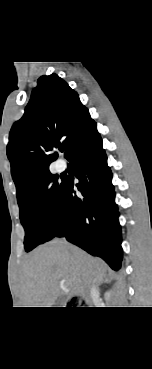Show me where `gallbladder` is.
I'll return each instance as SVG.
<instances>
[{"label": "gallbladder", "mask_w": 152, "mask_h": 369, "mask_svg": "<svg viewBox=\"0 0 152 369\" xmlns=\"http://www.w3.org/2000/svg\"><path fill=\"white\" fill-rule=\"evenodd\" d=\"M63 300H64V298H63V297H59V298H58V302H57V306H59V303H62V302H63Z\"/></svg>", "instance_id": "1"}]
</instances>
